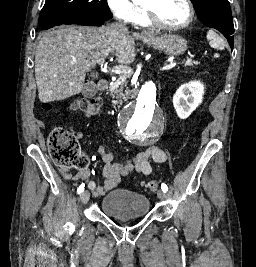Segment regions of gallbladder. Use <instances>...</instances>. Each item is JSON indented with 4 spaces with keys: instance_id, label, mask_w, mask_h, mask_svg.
<instances>
[{
    "instance_id": "gallbladder-1",
    "label": "gallbladder",
    "mask_w": 256,
    "mask_h": 267,
    "mask_svg": "<svg viewBox=\"0 0 256 267\" xmlns=\"http://www.w3.org/2000/svg\"><path fill=\"white\" fill-rule=\"evenodd\" d=\"M81 94L84 98H93V96L97 94L96 84H85L84 88L81 90Z\"/></svg>"
}]
</instances>
